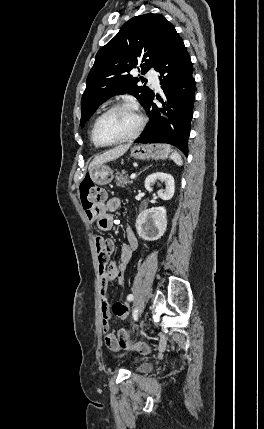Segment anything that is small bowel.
<instances>
[{"instance_id": "obj_1", "label": "small bowel", "mask_w": 264, "mask_h": 429, "mask_svg": "<svg viewBox=\"0 0 264 429\" xmlns=\"http://www.w3.org/2000/svg\"><path fill=\"white\" fill-rule=\"evenodd\" d=\"M121 206V200L118 197L108 199L105 203L100 204L96 211L92 214L86 212L87 219L91 224H97L101 230H110L116 220L111 215L112 212L118 210ZM127 242L121 246L119 262L111 261L110 256L114 252L115 243L111 239H104L101 236L94 237V244L98 253V270L100 275V299L102 313V330L105 333V345L114 352L119 351L122 347L119 341V334L127 333L124 330H119L117 333L110 332V305L108 301V285L116 280L118 284L124 283V274L128 263L131 260L132 254L139 246L138 238L132 228H126ZM142 353H147L149 348L145 345L140 350Z\"/></svg>"}]
</instances>
